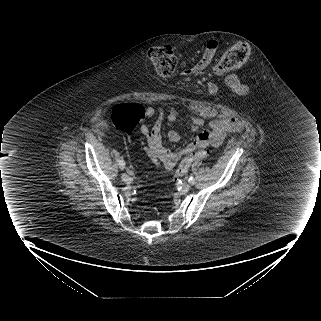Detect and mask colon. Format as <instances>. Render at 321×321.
I'll list each match as a JSON object with an SVG mask.
<instances>
[{"mask_svg":"<svg viewBox=\"0 0 321 321\" xmlns=\"http://www.w3.org/2000/svg\"><path fill=\"white\" fill-rule=\"evenodd\" d=\"M249 55L250 49L247 44L243 42L235 44L215 64L213 68L214 74L223 76L239 68L247 61ZM147 57L158 75L171 77L175 74L178 66V56L171 46L153 47L148 51ZM145 117L146 109L138 102L121 103L115 107L113 112L114 125L126 133L133 132ZM209 142L210 133L208 131H204L196 138L197 149L182 159L177 168L176 177L184 175L194 161L207 156V152L203 148Z\"/></svg>","mask_w":321,"mask_h":321,"instance_id":"obj_1","label":"colon"}]
</instances>
